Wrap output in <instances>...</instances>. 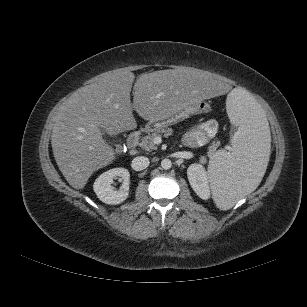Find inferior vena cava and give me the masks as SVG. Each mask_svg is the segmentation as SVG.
<instances>
[{
	"label": "inferior vena cava",
	"instance_id": "obj_1",
	"mask_svg": "<svg viewBox=\"0 0 307 307\" xmlns=\"http://www.w3.org/2000/svg\"><path fill=\"white\" fill-rule=\"evenodd\" d=\"M149 159L145 156H138V157H135L133 160H132V168L133 170L135 171H141V170H144L145 168H147L149 166Z\"/></svg>",
	"mask_w": 307,
	"mask_h": 307
}]
</instances>
